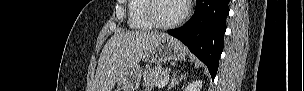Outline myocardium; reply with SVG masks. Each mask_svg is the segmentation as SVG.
<instances>
[{"instance_id":"obj_1","label":"myocardium","mask_w":304,"mask_h":91,"mask_svg":"<svg viewBox=\"0 0 304 91\" xmlns=\"http://www.w3.org/2000/svg\"><path fill=\"white\" fill-rule=\"evenodd\" d=\"M157 1H159V0H146V6H145V15H146L147 19L151 22V24L153 25L154 28H157V29L175 28V27L179 26L182 22H184L185 19L187 18L188 13H189V6H188L187 2L180 0L183 4V12L177 19H175L172 22H168V23L157 20L155 14H154L155 3Z\"/></svg>"}]
</instances>
